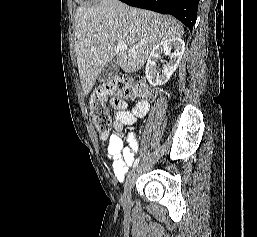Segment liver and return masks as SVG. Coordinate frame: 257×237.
I'll list each match as a JSON object with an SVG mask.
<instances>
[{
	"mask_svg": "<svg viewBox=\"0 0 257 237\" xmlns=\"http://www.w3.org/2000/svg\"><path fill=\"white\" fill-rule=\"evenodd\" d=\"M183 34L174 17L129 7L118 0L82 4L76 10L74 36L84 94L90 92L103 67L115 57L124 72H136L157 44ZM117 41H124L128 49H117Z\"/></svg>",
	"mask_w": 257,
	"mask_h": 237,
	"instance_id": "6515ba94",
	"label": "liver"
}]
</instances>
